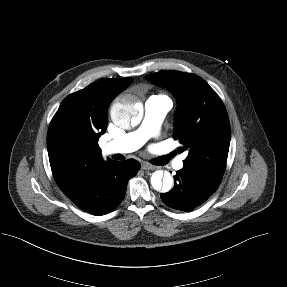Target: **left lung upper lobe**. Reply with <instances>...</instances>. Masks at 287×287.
<instances>
[{"label":"left lung upper lobe","instance_id":"1","mask_svg":"<svg viewBox=\"0 0 287 287\" xmlns=\"http://www.w3.org/2000/svg\"><path fill=\"white\" fill-rule=\"evenodd\" d=\"M146 78L170 88L179 99L173 135L182 144L179 153L188 152L183 163L219 184L226 167L231 135L220 97L195 74L165 71Z\"/></svg>","mask_w":287,"mask_h":287}]
</instances>
